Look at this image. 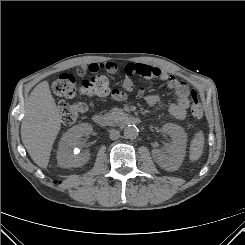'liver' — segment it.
<instances>
[{
	"instance_id": "liver-1",
	"label": "liver",
	"mask_w": 245,
	"mask_h": 245,
	"mask_svg": "<svg viewBox=\"0 0 245 245\" xmlns=\"http://www.w3.org/2000/svg\"><path fill=\"white\" fill-rule=\"evenodd\" d=\"M61 128V117L50 92L49 83L42 81L31 92L25 104L21 139L32 160L46 168L53 143Z\"/></svg>"
}]
</instances>
